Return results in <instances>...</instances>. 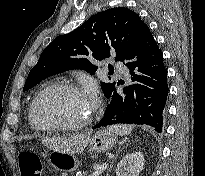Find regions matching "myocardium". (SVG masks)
Returning <instances> with one entry per match:
<instances>
[{"mask_svg": "<svg viewBox=\"0 0 205 176\" xmlns=\"http://www.w3.org/2000/svg\"><path fill=\"white\" fill-rule=\"evenodd\" d=\"M58 90H65V91H72L75 93H81L79 87L71 82H58V83H54L46 87L45 89H43L34 98L32 102V106H31V110H30L31 119L33 123L35 124V126L41 130H62V131H78V130H81L87 127L91 123L92 118H93V113H94L93 108H91L87 117L83 121L77 124L44 123L39 119L38 107H39L41 100L48 94L54 91H58Z\"/></svg>", "mask_w": 205, "mask_h": 176, "instance_id": "f54148a6", "label": "myocardium"}]
</instances>
